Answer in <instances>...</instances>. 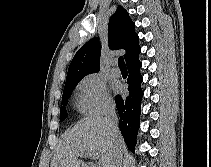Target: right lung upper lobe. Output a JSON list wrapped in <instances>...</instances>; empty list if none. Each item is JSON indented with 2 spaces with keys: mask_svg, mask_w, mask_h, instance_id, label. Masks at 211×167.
<instances>
[{
  "mask_svg": "<svg viewBox=\"0 0 211 167\" xmlns=\"http://www.w3.org/2000/svg\"><path fill=\"white\" fill-rule=\"evenodd\" d=\"M134 28L135 24L130 19L128 12L119 6L109 20L108 41L111 49L126 50L125 61L127 65L137 59L141 51L139 37ZM100 53L101 45L98 38H93L83 45L70 63L66 82L98 72Z\"/></svg>",
  "mask_w": 211,
  "mask_h": 167,
  "instance_id": "cb5924a9",
  "label": "right lung upper lobe"
}]
</instances>
